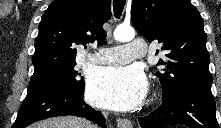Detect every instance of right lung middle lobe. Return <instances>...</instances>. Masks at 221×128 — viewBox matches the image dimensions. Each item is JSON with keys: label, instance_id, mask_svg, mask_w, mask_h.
Returning a JSON list of instances; mask_svg holds the SVG:
<instances>
[{"label": "right lung middle lobe", "instance_id": "right-lung-middle-lobe-1", "mask_svg": "<svg viewBox=\"0 0 221 128\" xmlns=\"http://www.w3.org/2000/svg\"><path fill=\"white\" fill-rule=\"evenodd\" d=\"M76 64L55 69L43 74L33 75L28 92L51 85H65L77 90H84V79L74 70Z\"/></svg>", "mask_w": 221, "mask_h": 128}]
</instances>
